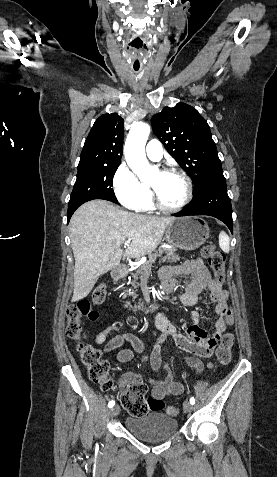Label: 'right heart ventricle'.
Here are the masks:
<instances>
[{"mask_svg":"<svg viewBox=\"0 0 277 477\" xmlns=\"http://www.w3.org/2000/svg\"><path fill=\"white\" fill-rule=\"evenodd\" d=\"M152 209H153V203H152V200H151V197H150V199L148 200L146 205L141 210L142 211H150Z\"/></svg>","mask_w":277,"mask_h":477,"instance_id":"1","label":"right heart ventricle"}]
</instances>
